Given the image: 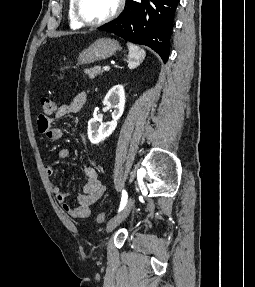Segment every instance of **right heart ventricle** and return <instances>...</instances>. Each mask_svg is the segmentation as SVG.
Listing matches in <instances>:
<instances>
[{"label": "right heart ventricle", "instance_id": "right-heart-ventricle-1", "mask_svg": "<svg viewBox=\"0 0 255 287\" xmlns=\"http://www.w3.org/2000/svg\"><path fill=\"white\" fill-rule=\"evenodd\" d=\"M89 48H105V47H89Z\"/></svg>", "mask_w": 255, "mask_h": 287}]
</instances>
